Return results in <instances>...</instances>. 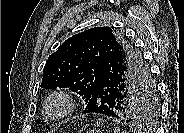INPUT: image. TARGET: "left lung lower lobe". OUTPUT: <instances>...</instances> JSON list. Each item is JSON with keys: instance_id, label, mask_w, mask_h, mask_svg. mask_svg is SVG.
<instances>
[{"instance_id": "left-lung-lower-lobe-1", "label": "left lung lower lobe", "mask_w": 184, "mask_h": 133, "mask_svg": "<svg viewBox=\"0 0 184 133\" xmlns=\"http://www.w3.org/2000/svg\"><path fill=\"white\" fill-rule=\"evenodd\" d=\"M119 62V61H118ZM123 67L115 64L113 59L105 57L101 63L100 81L94 89L84 113H97L121 119L126 107L129 91ZM141 89L147 95L152 94L150 85L141 83ZM129 122V120H126Z\"/></svg>"}]
</instances>
